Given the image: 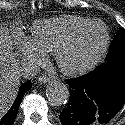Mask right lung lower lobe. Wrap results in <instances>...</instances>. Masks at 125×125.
<instances>
[{"instance_id": "98d812e1", "label": "right lung lower lobe", "mask_w": 125, "mask_h": 125, "mask_svg": "<svg viewBox=\"0 0 125 125\" xmlns=\"http://www.w3.org/2000/svg\"><path fill=\"white\" fill-rule=\"evenodd\" d=\"M31 88V82L28 81L22 84L19 88L18 95L7 113L0 119V125H13L17 116L18 108L23 99L24 94Z\"/></svg>"}]
</instances>
